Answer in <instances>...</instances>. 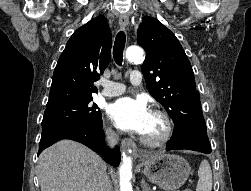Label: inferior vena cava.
I'll return each mask as SVG.
<instances>
[{
    "instance_id": "inferior-vena-cava-1",
    "label": "inferior vena cava",
    "mask_w": 251,
    "mask_h": 191,
    "mask_svg": "<svg viewBox=\"0 0 251 191\" xmlns=\"http://www.w3.org/2000/svg\"><path fill=\"white\" fill-rule=\"evenodd\" d=\"M106 139L108 145H110V147H114V145L118 143L120 137L118 133H115V131H111V129H106ZM100 191H112V185H110V179H108L107 175H104L102 179Z\"/></svg>"
}]
</instances>
